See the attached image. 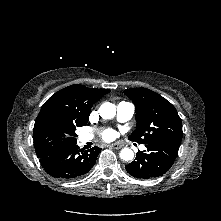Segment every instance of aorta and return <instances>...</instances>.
Returning <instances> with one entry per match:
<instances>
[{
    "label": "aorta",
    "mask_w": 221,
    "mask_h": 221,
    "mask_svg": "<svg viewBox=\"0 0 221 221\" xmlns=\"http://www.w3.org/2000/svg\"><path fill=\"white\" fill-rule=\"evenodd\" d=\"M99 114L103 119H112L116 115V106L113 103L105 102L99 108ZM134 152L130 148H124L120 152V158L125 161L132 160Z\"/></svg>",
    "instance_id": "762f6f07"
}]
</instances>
